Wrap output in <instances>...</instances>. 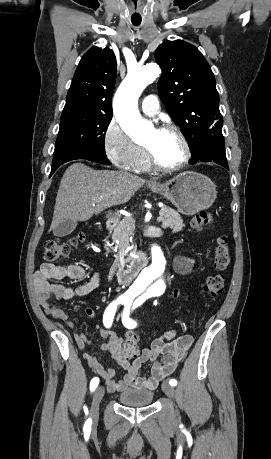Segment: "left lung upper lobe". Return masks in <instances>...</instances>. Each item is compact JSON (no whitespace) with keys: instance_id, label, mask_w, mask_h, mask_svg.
I'll return each instance as SVG.
<instances>
[{"instance_id":"1","label":"left lung upper lobe","mask_w":271,"mask_h":459,"mask_svg":"<svg viewBox=\"0 0 271 459\" xmlns=\"http://www.w3.org/2000/svg\"><path fill=\"white\" fill-rule=\"evenodd\" d=\"M155 59L162 69L160 98L189 144L191 161L198 160L207 137L223 126L214 74L201 52L183 40L162 43Z\"/></svg>"}]
</instances>
